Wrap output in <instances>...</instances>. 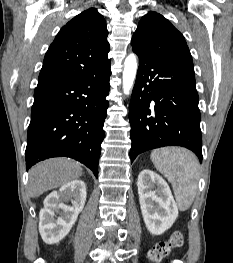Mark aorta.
<instances>
[{"label":"aorta","instance_id":"aorta-1","mask_svg":"<svg viewBox=\"0 0 233 263\" xmlns=\"http://www.w3.org/2000/svg\"><path fill=\"white\" fill-rule=\"evenodd\" d=\"M137 58L135 54H130L124 61L123 70V90L125 94H128L131 87L134 84V80L137 72Z\"/></svg>","mask_w":233,"mask_h":263}]
</instances>
